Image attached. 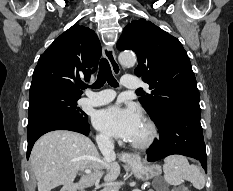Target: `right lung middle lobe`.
Listing matches in <instances>:
<instances>
[{"mask_svg": "<svg viewBox=\"0 0 233 191\" xmlns=\"http://www.w3.org/2000/svg\"><path fill=\"white\" fill-rule=\"evenodd\" d=\"M29 119L40 112H53L87 122V115L77 107L78 97H70L55 92L39 94L29 98Z\"/></svg>", "mask_w": 233, "mask_h": 191, "instance_id": "obj_1", "label": "right lung middle lobe"}]
</instances>
